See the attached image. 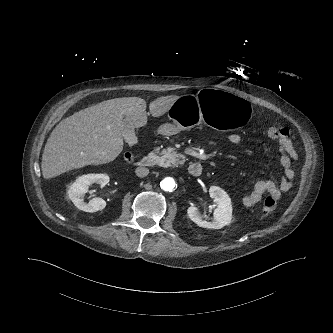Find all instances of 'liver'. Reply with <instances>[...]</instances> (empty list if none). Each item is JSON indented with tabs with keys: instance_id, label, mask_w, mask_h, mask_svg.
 Listing matches in <instances>:
<instances>
[{
	"instance_id": "obj_1",
	"label": "liver",
	"mask_w": 333,
	"mask_h": 333,
	"mask_svg": "<svg viewBox=\"0 0 333 333\" xmlns=\"http://www.w3.org/2000/svg\"><path fill=\"white\" fill-rule=\"evenodd\" d=\"M178 98L170 95L152 101L151 115H164ZM124 117L135 127L145 126L146 101L139 97L114 98L62 120L45 145L41 163L43 177L49 179L69 170L115 160L123 150Z\"/></svg>"
}]
</instances>
